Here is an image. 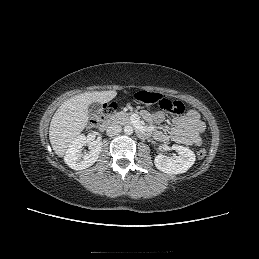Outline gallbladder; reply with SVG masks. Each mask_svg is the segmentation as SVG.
Listing matches in <instances>:
<instances>
[{"mask_svg": "<svg viewBox=\"0 0 259 259\" xmlns=\"http://www.w3.org/2000/svg\"><path fill=\"white\" fill-rule=\"evenodd\" d=\"M102 106L98 102H93L88 107V115L91 118H96L100 114Z\"/></svg>", "mask_w": 259, "mask_h": 259, "instance_id": "bac80fb5", "label": "gallbladder"}]
</instances>
